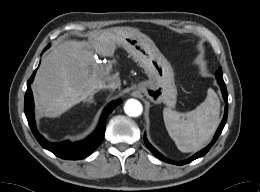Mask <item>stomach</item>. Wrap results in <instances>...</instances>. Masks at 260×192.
<instances>
[{
	"instance_id": "stomach-1",
	"label": "stomach",
	"mask_w": 260,
	"mask_h": 192,
	"mask_svg": "<svg viewBox=\"0 0 260 192\" xmlns=\"http://www.w3.org/2000/svg\"><path fill=\"white\" fill-rule=\"evenodd\" d=\"M115 44L122 46L146 72L149 80L139 83L138 91L155 104L173 107L177 100V88L171 64L154 42L133 28H117Z\"/></svg>"
}]
</instances>
